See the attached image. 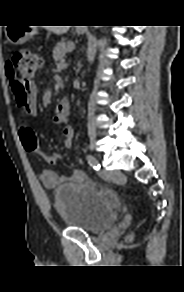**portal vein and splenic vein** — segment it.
Returning a JSON list of instances; mask_svg holds the SVG:
<instances>
[{"label":"portal vein and splenic vein","instance_id":"portal-vein-and-splenic-vein-1","mask_svg":"<svg viewBox=\"0 0 184 292\" xmlns=\"http://www.w3.org/2000/svg\"><path fill=\"white\" fill-rule=\"evenodd\" d=\"M67 66L68 64L64 60H61L60 63L57 64L58 69H63L66 68Z\"/></svg>","mask_w":184,"mask_h":292}]
</instances>
